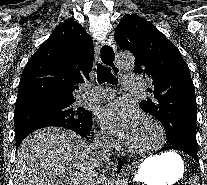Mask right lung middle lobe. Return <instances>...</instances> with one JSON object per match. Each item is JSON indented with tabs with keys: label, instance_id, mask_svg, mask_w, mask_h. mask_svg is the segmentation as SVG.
I'll return each mask as SVG.
<instances>
[{
	"label": "right lung middle lobe",
	"instance_id": "obj_1",
	"mask_svg": "<svg viewBox=\"0 0 207 185\" xmlns=\"http://www.w3.org/2000/svg\"><path fill=\"white\" fill-rule=\"evenodd\" d=\"M92 122V112L71 105L43 104L14 112L15 137L48 126L80 127Z\"/></svg>",
	"mask_w": 207,
	"mask_h": 185
}]
</instances>
